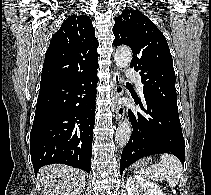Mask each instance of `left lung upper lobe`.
<instances>
[{
    "label": "left lung upper lobe",
    "mask_w": 211,
    "mask_h": 195,
    "mask_svg": "<svg viewBox=\"0 0 211 195\" xmlns=\"http://www.w3.org/2000/svg\"><path fill=\"white\" fill-rule=\"evenodd\" d=\"M114 45H128L133 52L131 68L138 71L143 95L175 109V72L168 43L153 22L138 10H124L115 18Z\"/></svg>",
    "instance_id": "1"
}]
</instances>
